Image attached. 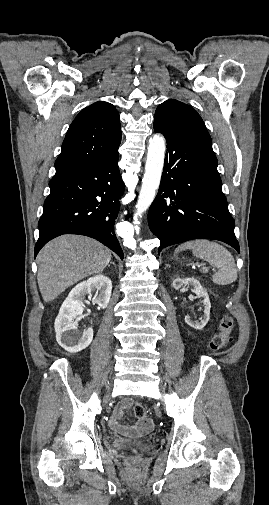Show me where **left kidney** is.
Masks as SVG:
<instances>
[{"label": "left kidney", "mask_w": 269, "mask_h": 505, "mask_svg": "<svg viewBox=\"0 0 269 505\" xmlns=\"http://www.w3.org/2000/svg\"><path fill=\"white\" fill-rule=\"evenodd\" d=\"M190 286L191 291L194 292L198 297H201L203 299V316L199 319V321H193L189 316H185V322L192 328L196 330H201L202 328L205 327V325L208 323L209 318H210V309H211V303L209 300V295L207 293V290L204 289L200 282L191 277V278H176L172 282V287L174 289H179L181 286Z\"/></svg>", "instance_id": "left-kidney-1"}]
</instances>
